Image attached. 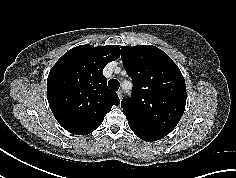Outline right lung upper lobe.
<instances>
[{"instance_id": "1", "label": "right lung upper lobe", "mask_w": 236, "mask_h": 178, "mask_svg": "<svg viewBox=\"0 0 236 178\" xmlns=\"http://www.w3.org/2000/svg\"><path fill=\"white\" fill-rule=\"evenodd\" d=\"M120 57L116 45H80L66 52L47 78V99L59 124L77 135L97 129L113 105L120 100L107 87L102 71Z\"/></svg>"}]
</instances>
